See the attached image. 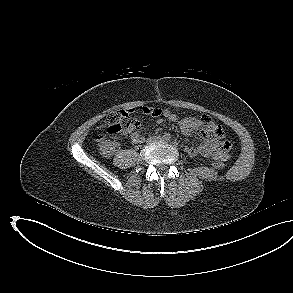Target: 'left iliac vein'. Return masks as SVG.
I'll list each match as a JSON object with an SVG mask.
<instances>
[{"mask_svg":"<svg viewBox=\"0 0 293 293\" xmlns=\"http://www.w3.org/2000/svg\"><path fill=\"white\" fill-rule=\"evenodd\" d=\"M163 142H167L166 140H162Z\"/></svg>","mask_w":293,"mask_h":293,"instance_id":"left-iliac-vein-1","label":"left iliac vein"}]
</instances>
